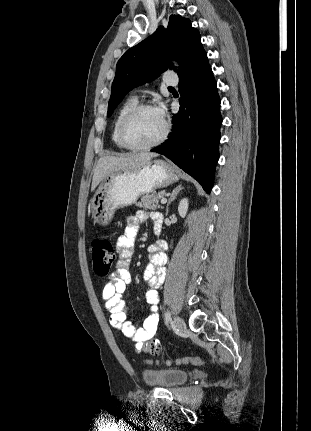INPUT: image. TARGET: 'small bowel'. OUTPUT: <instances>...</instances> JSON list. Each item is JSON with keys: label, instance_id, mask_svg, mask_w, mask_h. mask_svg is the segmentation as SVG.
<instances>
[{"label": "small bowel", "instance_id": "1", "mask_svg": "<svg viewBox=\"0 0 311 431\" xmlns=\"http://www.w3.org/2000/svg\"><path fill=\"white\" fill-rule=\"evenodd\" d=\"M150 222L155 235H160L163 216L159 212L139 211L127 219L124 233L116 243L119 261L116 270L109 276L102 290V301L106 311L110 314V324L131 338L142 344L157 335L158 332V288L164 279V265L167 261L165 253L167 243L158 240L150 247L149 263L144 271V280L148 285L145 297L150 306V314L140 326L134 325L127 319L128 301L123 297L127 285L131 282L129 271L130 260L134 252V245L140 226Z\"/></svg>", "mask_w": 311, "mask_h": 431}]
</instances>
